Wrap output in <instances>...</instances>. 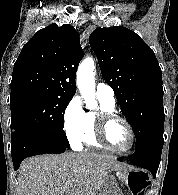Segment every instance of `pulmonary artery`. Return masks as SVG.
I'll list each match as a JSON object with an SVG mask.
<instances>
[{
	"label": "pulmonary artery",
	"mask_w": 178,
	"mask_h": 195,
	"mask_svg": "<svg viewBox=\"0 0 178 195\" xmlns=\"http://www.w3.org/2000/svg\"><path fill=\"white\" fill-rule=\"evenodd\" d=\"M96 95L97 97L111 103L115 104V93L111 86L104 82L98 83L96 86Z\"/></svg>",
	"instance_id": "pulmonary-artery-1"
}]
</instances>
